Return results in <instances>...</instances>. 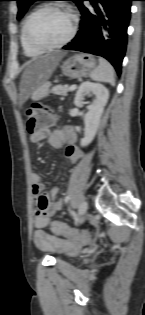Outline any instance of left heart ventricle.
<instances>
[{
  "instance_id": "b2bd125f",
  "label": "left heart ventricle",
  "mask_w": 145,
  "mask_h": 315,
  "mask_svg": "<svg viewBox=\"0 0 145 315\" xmlns=\"http://www.w3.org/2000/svg\"><path fill=\"white\" fill-rule=\"evenodd\" d=\"M71 19L63 12L46 11L35 18L30 34L31 37L42 44H53L66 37L70 30Z\"/></svg>"
}]
</instances>
